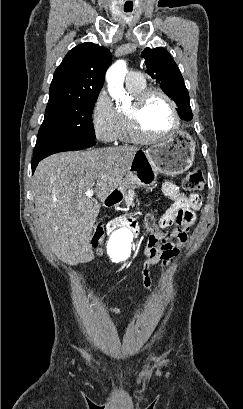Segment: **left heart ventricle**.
Wrapping results in <instances>:
<instances>
[{
  "mask_svg": "<svg viewBox=\"0 0 243 409\" xmlns=\"http://www.w3.org/2000/svg\"><path fill=\"white\" fill-rule=\"evenodd\" d=\"M142 128L147 134L159 135L173 125V117L168 103L159 95H152L140 114Z\"/></svg>",
  "mask_w": 243,
  "mask_h": 409,
  "instance_id": "left-heart-ventricle-1",
  "label": "left heart ventricle"
}]
</instances>
